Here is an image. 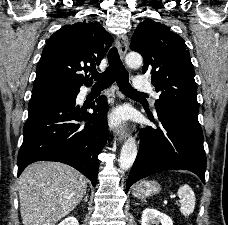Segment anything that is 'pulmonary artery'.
Masks as SVG:
<instances>
[{"label": "pulmonary artery", "instance_id": "e3ab8cb5", "mask_svg": "<svg viewBox=\"0 0 228 225\" xmlns=\"http://www.w3.org/2000/svg\"><path fill=\"white\" fill-rule=\"evenodd\" d=\"M137 80H146V75H137ZM134 90H148L152 93L154 99H158L159 95L152 89L151 85H148V81H136Z\"/></svg>", "mask_w": 228, "mask_h": 225}]
</instances>
